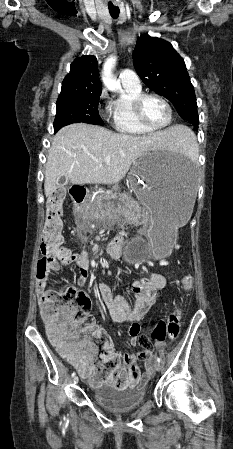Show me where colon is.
Instances as JSON below:
<instances>
[{
  "label": "colon",
  "instance_id": "colon-1",
  "mask_svg": "<svg viewBox=\"0 0 233 449\" xmlns=\"http://www.w3.org/2000/svg\"><path fill=\"white\" fill-rule=\"evenodd\" d=\"M64 195L56 193L48 198L46 222L42 234L41 252L42 258L38 262V272L46 269L55 258L65 257L68 250L63 248L62 210ZM184 291H190L193 287V276L185 275L181 280ZM91 306L90 299L84 293L73 287H67L64 291H49L42 299L41 314L47 324V331L51 342L64 354L70 351L67 340L74 342L79 350L94 349L103 344L108 337L102 334L94 325L92 317L87 313ZM181 331V310L175 308L166 321L159 322L152 330L150 336L140 335L138 344L141 350L138 358H146L151 353L153 342H162L165 339L176 340ZM135 357H125L120 368H128L129 374L138 377V367L133 364ZM116 388H123L125 383L117 378L114 380Z\"/></svg>",
  "mask_w": 233,
  "mask_h": 449
}]
</instances>
